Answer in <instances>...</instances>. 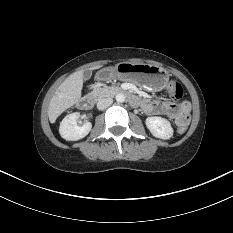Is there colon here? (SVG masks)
Masks as SVG:
<instances>
[{"instance_id": "1", "label": "colon", "mask_w": 233, "mask_h": 233, "mask_svg": "<svg viewBox=\"0 0 233 233\" xmlns=\"http://www.w3.org/2000/svg\"><path fill=\"white\" fill-rule=\"evenodd\" d=\"M167 93L172 100L174 101L180 100L183 96L182 85L176 80H171L167 85ZM186 128L187 126H181L178 128V132L184 133Z\"/></svg>"}]
</instances>
